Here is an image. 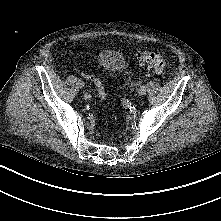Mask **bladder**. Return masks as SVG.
Masks as SVG:
<instances>
[{
	"label": "bladder",
	"mask_w": 221,
	"mask_h": 221,
	"mask_svg": "<svg viewBox=\"0 0 221 221\" xmlns=\"http://www.w3.org/2000/svg\"><path fill=\"white\" fill-rule=\"evenodd\" d=\"M101 67L111 75H118L124 69V59L120 53L113 50H105L99 55Z\"/></svg>",
	"instance_id": "obj_1"
}]
</instances>
